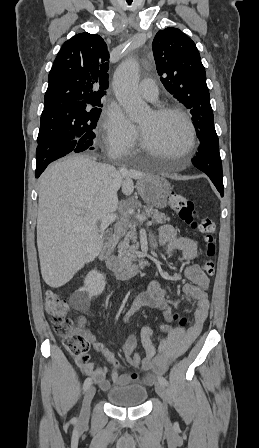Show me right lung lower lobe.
Wrapping results in <instances>:
<instances>
[{"instance_id": "right-lung-lower-lobe-1", "label": "right lung lower lobe", "mask_w": 259, "mask_h": 448, "mask_svg": "<svg viewBox=\"0 0 259 448\" xmlns=\"http://www.w3.org/2000/svg\"><path fill=\"white\" fill-rule=\"evenodd\" d=\"M94 147H90L87 150H93ZM77 141H51L38 144L36 149V171L35 176L38 178L45 168L52 161L57 160L69 153L77 152Z\"/></svg>"}]
</instances>
